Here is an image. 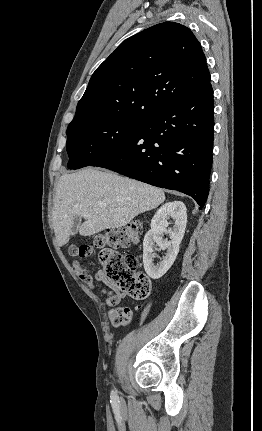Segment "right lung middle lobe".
<instances>
[{
    "instance_id": "right-lung-middle-lobe-1",
    "label": "right lung middle lobe",
    "mask_w": 262,
    "mask_h": 431,
    "mask_svg": "<svg viewBox=\"0 0 262 431\" xmlns=\"http://www.w3.org/2000/svg\"><path fill=\"white\" fill-rule=\"evenodd\" d=\"M142 119L117 118L80 122L67 129V167L79 169L102 159L138 129Z\"/></svg>"
}]
</instances>
